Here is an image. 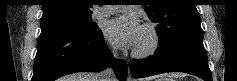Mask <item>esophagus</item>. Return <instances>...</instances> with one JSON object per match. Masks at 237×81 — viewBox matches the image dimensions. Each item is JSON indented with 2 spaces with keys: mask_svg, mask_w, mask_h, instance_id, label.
Returning <instances> with one entry per match:
<instances>
[{
  "mask_svg": "<svg viewBox=\"0 0 237 81\" xmlns=\"http://www.w3.org/2000/svg\"><path fill=\"white\" fill-rule=\"evenodd\" d=\"M127 81H132V77L130 73H128Z\"/></svg>",
  "mask_w": 237,
  "mask_h": 81,
  "instance_id": "obj_1",
  "label": "esophagus"
}]
</instances>
